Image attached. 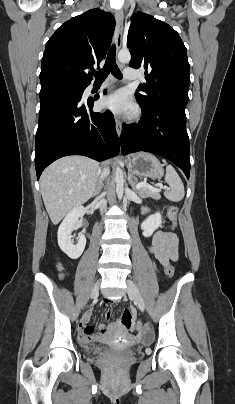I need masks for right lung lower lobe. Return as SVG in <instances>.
Masks as SVG:
<instances>
[{
  "label": "right lung lower lobe",
  "instance_id": "98d812e1",
  "mask_svg": "<svg viewBox=\"0 0 235 404\" xmlns=\"http://www.w3.org/2000/svg\"><path fill=\"white\" fill-rule=\"evenodd\" d=\"M40 102L35 143L37 179L63 156L83 155L102 161L118 155L119 139L109 111L94 113L93 101L82 103L81 99L60 95L46 96Z\"/></svg>",
  "mask_w": 235,
  "mask_h": 404
}]
</instances>
